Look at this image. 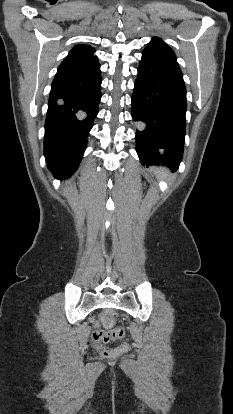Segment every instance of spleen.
Listing matches in <instances>:
<instances>
[{"instance_id":"3e777b00","label":"spleen","mask_w":233,"mask_h":414,"mask_svg":"<svg viewBox=\"0 0 233 414\" xmlns=\"http://www.w3.org/2000/svg\"><path fill=\"white\" fill-rule=\"evenodd\" d=\"M157 174L161 178H165L168 175V170L166 168L158 169Z\"/></svg>"}]
</instances>
